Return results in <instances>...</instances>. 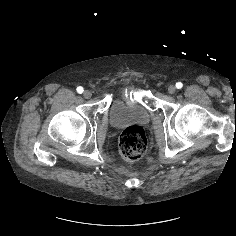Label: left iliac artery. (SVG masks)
<instances>
[{
    "label": "left iliac artery",
    "mask_w": 236,
    "mask_h": 236,
    "mask_svg": "<svg viewBox=\"0 0 236 236\" xmlns=\"http://www.w3.org/2000/svg\"><path fill=\"white\" fill-rule=\"evenodd\" d=\"M183 87V84L181 82L176 83V88L181 89Z\"/></svg>",
    "instance_id": "44dca946"
}]
</instances>
